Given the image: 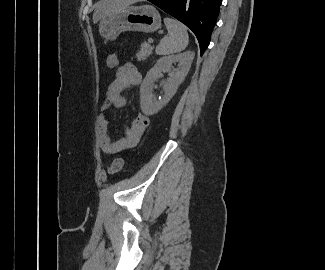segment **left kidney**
Masks as SVG:
<instances>
[{"instance_id":"obj_1","label":"left kidney","mask_w":325,"mask_h":270,"mask_svg":"<svg viewBox=\"0 0 325 270\" xmlns=\"http://www.w3.org/2000/svg\"><path fill=\"white\" fill-rule=\"evenodd\" d=\"M195 53L186 51L181 54L160 58L144 78L140 87V106L145 115H154L161 110L174 96L179 85L188 74ZM178 63V69H172V64ZM161 72H169L170 77L164 85V95L158 100L153 99V84Z\"/></svg>"}]
</instances>
